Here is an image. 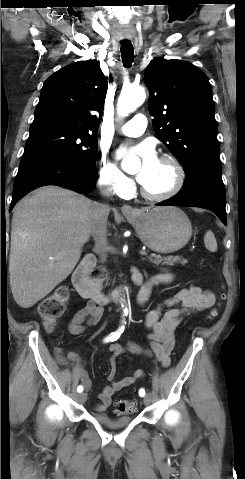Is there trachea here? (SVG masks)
<instances>
[{
  "instance_id": "trachea-1",
  "label": "trachea",
  "mask_w": 245,
  "mask_h": 479,
  "mask_svg": "<svg viewBox=\"0 0 245 479\" xmlns=\"http://www.w3.org/2000/svg\"><path fill=\"white\" fill-rule=\"evenodd\" d=\"M121 57L125 67H130L134 59V49L132 43L128 40L121 41Z\"/></svg>"
}]
</instances>
